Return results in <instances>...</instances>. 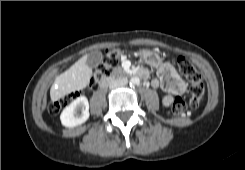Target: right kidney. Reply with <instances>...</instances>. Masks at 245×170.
Instances as JSON below:
<instances>
[{"label":"right kidney","mask_w":245,"mask_h":170,"mask_svg":"<svg viewBox=\"0 0 245 170\" xmlns=\"http://www.w3.org/2000/svg\"><path fill=\"white\" fill-rule=\"evenodd\" d=\"M89 103L85 96L78 97L64 108L60 120L65 127H75L89 118Z\"/></svg>","instance_id":"right-kidney-1"}]
</instances>
